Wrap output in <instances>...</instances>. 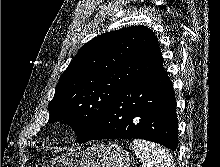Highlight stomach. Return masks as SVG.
Listing matches in <instances>:
<instances>
[{"label": "stomach", "instance_id": "stomach-1", "mask_svg": "<svg viewBox=\"0 0 220 167\" xmlns=\"http://www.w3.org/2000/svg\"><path fill=\"white\" fill-rule=\"evenodd\" d=\"M129 153L118 144H99L58 156L51 167H129Z\"/></svg>", "mask_w": 220, "mask_h": 167}]
</instances>
